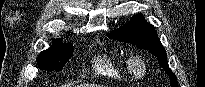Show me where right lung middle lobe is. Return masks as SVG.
Here are the masks:
<instances>
[{
	"mask_svg": "<svg viewBox=\"0 0 205 87\" xmlns=\"http://www.w3.org/2000/svg\"><path fill=\"white\" fill-rule=\"evenodd\" d=\"M73 55L72 45L53 44L49 49L42 51L37 60L40 70H62L69 58Z\"/></svg>",
	"mask_w": 205,
	"mask_h": 87,
	"instance_id": "1",
	"label": "right lung middle lobe"
}]
</instances>
